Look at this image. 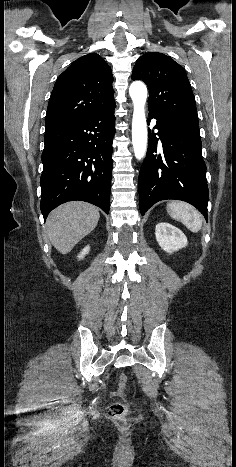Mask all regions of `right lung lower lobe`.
Segmentation results:
<instances>
[{
	"mask_svg": "<svg viewBox=\"0 0 236 467\" xmlns=\"http://www.w3.org/2000/svg\"><path fill=\"white\" fill-rule=\"evenodd\" d=\"M115 104L44 137L40 208L44 219L62 203L81 200L110 208Z\"/></svg>",
	"mask_w": 236,
	"mask_h": 467,
	"instance_id": "98d812e1",
	"label": "right lung lower lobe"
}]
</instances>
